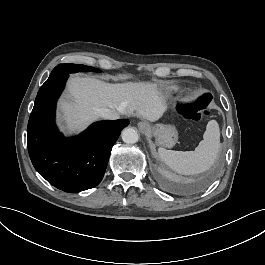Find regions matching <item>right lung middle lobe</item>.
<instances>
[{
	"label": "right lung middle lobe",
	"mask_w": 265,
	"mask_h": 265,
	"mask_svg": "<svg viewBox=\"0 0 265 265\" xmlns=\"http://www.w3.org/2000/svg\"><path fill=\"white\" fill-rule=\"evenodd\" d=\"M87 71L99 72L100 70L79 64H60L54 68L49 78H54L69 73L87 72Z\"/></svg>",
	"instance_id": "dd1d6c3e"
}]
</instances>
